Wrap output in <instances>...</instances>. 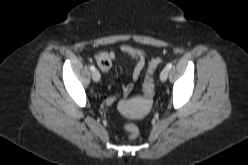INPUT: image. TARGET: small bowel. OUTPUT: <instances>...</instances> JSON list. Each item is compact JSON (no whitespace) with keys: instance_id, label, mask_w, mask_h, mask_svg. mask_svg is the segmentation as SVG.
<instances>
[{"instance_id":"obj_1","label":"small bowel","mask_w":248,"mask_h":165,"mask_svg":"<svg viewBox=\"0 0 248 165\" xmlns=\"http://www.w3.org/2000/svg\"><path fill=\"white\" fill-rule=\"evenodd\" d=\"M119 50L132 57L135 61V66L131 75V82L126 83L122 87V94L124 97H127L131 94L134 88V84L139 80L140 75L145 66L146 55L145 52L127 44H123L119 47ZM106 59L104 64L98 65L103 73H108L112 67V63L117 59L118 53L116 50H110L108 53L103 55ZM109 105H114L118 102L117 96H112L107 100Z\"/></svg>"}]
</instances>
